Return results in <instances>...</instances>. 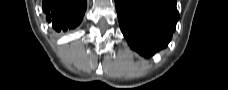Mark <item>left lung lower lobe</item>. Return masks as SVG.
<instances>
[{
    "mask_svg": "<svg viewBox=\"0 0 228 90\" xmlns=\"http://www.w3.org/2000/svg\"><path fill=\"white\" fill-rule=\"evenodd\" d=\"M121 31L129 45L144 56L165 48L179 13L176 0H115Z\"/></svg>",
    "mask_w": 228,
    "mask_h": 90,
    "instance_id": "0a47b994",
    "label": "left lung lower lobe"
}]
</instances>
